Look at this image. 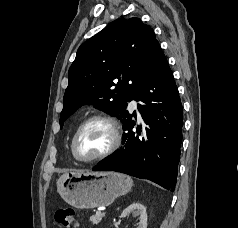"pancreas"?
<instances>
[{
    "mask_svg": "<svg viewBox=\"0 0 238 228\" xmlns=\"http://www.w3.org/2000/svg\"><path fill=\"white\" fill-rule=\"evenodd\" d=\"M103 217H104L103 215H97V214L96 215H92L90 217V222L92 224H98L102 220Z\"/></svg>",
    "mask_w": 238,
    "mask_h": 228,
    "instance_id": "obj_1",
    "label": "pancreas"
}]
</instances>
